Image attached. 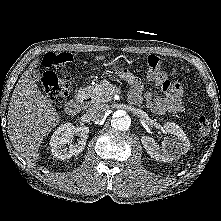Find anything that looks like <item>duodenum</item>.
<instances>
[{
	"instance_id": "obj_1",
	"label": "duodenum",
	"mask_w": 221,
	"mask_h": 221,
	"mask_svg": "<svg viewBox=\"0 0 221 221\" xmlns=\"http://www.w3.org/2000/svg\"><path fill=\"white\" fill-rule=\"evenodd\" d=\"M91 102L92 96L87 92H83L78 97L70 100L66 104V112L72 116L78 115L81 111L82 106L84 104H90Z\"/></svg>"
}]
</instances>
